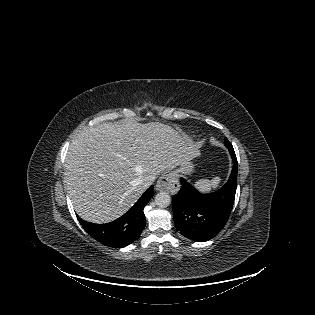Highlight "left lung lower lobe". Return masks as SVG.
<instances>
[{"instance_id": "left-lung-lower-lobe-1", "label": "left lung lower lobe", "mask_w": 315, "mask_h": 315, "mask_svg": "<svg viewBox=\"0 0 315 315\" xmlns=\"http://www.w3.org/2000/svg\"><path fill=\"white\" fill-rule=\"evenodd\" d=\"M232 153L234 165L231 175L217 192L201 194L181 178L182 187L173 196L172 206L175 227L183 236L196 242H205L215 237L225 226L237 188V159L235 152Z\"/></svg>"}]
</instances>
